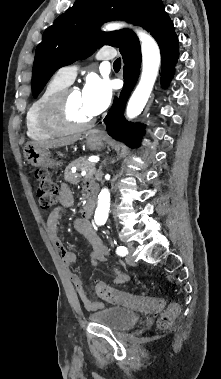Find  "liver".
Returning <instances> with one entry per match:
<instances>
[{
  "label": "liver",
  "instance_id": "1",
  "mask_svg": "<svg viewBox=\"0 0 221 379\" xmlns=\"http://www.w3.org/2000/svg\"><path fill=\"white\" fill-rule=\"evenodd\" d=\"M80 138V135H73V136H68L60 139H55V140H50V141H42V142H29L28 144H31L36 147L40 148H58L66 145L73 144Z\"/></svg>",
  "mask_w": 221,
  "mask_h": 379
}]
</instances>
